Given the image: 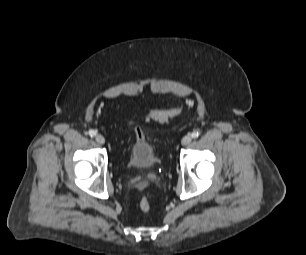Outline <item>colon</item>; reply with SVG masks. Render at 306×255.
Segmentation results:
<instances>
[{"mask_svg":"<svg viewBox=\"0 0 306 255\" xmlns=\"http://www.w3.org/2000/svg\"><path fill=\"white\" fill-rule=\"evenodd\" d=\"M181 113L179 107H170L162 110H151L144 115L145 120L155 121H167ZM140 208L143 212H149L151 210V203L146 196H143L140 200Z\"/></svg>","mask_w":306,"mask_h":255,"instance_id":"colon-1","label":"colon"}]
</instances>
